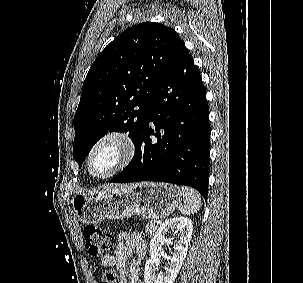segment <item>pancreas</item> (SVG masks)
Instances as JSON below:
<instances>
[{
	"instance_id": "pancreas-1",
	"label": "pancreas",
	"mask_w": 303,
	"mask_h": 283,
	"mask_svg": "<svg viewBox=\"0 0 303 283\" xmlns=\"http://www.w3.org/2000/svg\"><path fill=\"white\" fill-rule=\"evenodd\" d=\"M156 225L153 224V221H150V223H147L145 225V232L149 235H153L156 231Z\"/></svg>"
}]
</instances>
